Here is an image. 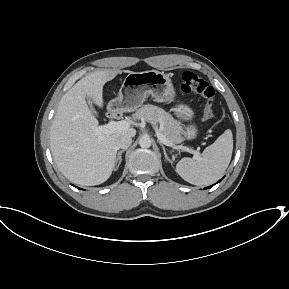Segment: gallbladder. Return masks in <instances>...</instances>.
<instances>
[{
    "instance_id": "bac80fb5",
    "label": "gallbladder",
    "mask_w": 289,
    "mask_h": 289,
    "mask_svg": "<svg viewBox=\"0 0 289 289\" xmlns=\"http://www.w3.org/2000/svg\"><path fill=\"white\" fill-rule=\"evenodd\" d=\"M87 102H88V104H89V106H90L91 112H92V113H95V109H94L93 104H92V102L90 101L89 98H87Z\"/></svg>"
}]
</instances>
